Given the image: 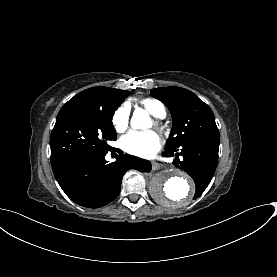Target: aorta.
<instances>
[{"label":"aorta","instance_id":"aorta-1","mask_svg":"<svg viewBox=\"0 0 277 277\" xmlns=\"http://www.w3.org/2000/svg\"><path fill=\"white\" fill-rule=\"evenodd\" d=\"M148 113L138 108L134 111L131 126L134 129L148 127ZM195 186L192 179L182 170L166 167L158 172L150 183L152 196L163 205H186L194 194Z\"/></svg>","mask_w":277,"mask_h":277}]
</instances>
